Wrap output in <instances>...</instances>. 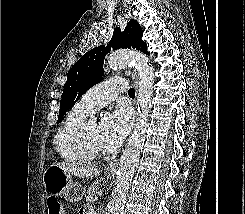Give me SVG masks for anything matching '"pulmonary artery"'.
<instances>
[{
    "mask_svg": "<svg viewBox=\"0 0 245 214\" xmlns=\"http://www.w3.org/2000/svg\"><path fill=\"white\" fill-rule=\"evenodd\" d=\"M126 86V80L120 77L105 80L89 89L82 96L80 104L93 113L112 102L119 93L126 89Z\"/></svg>",
    "mask_w": 245,
    "mask_h": 214,
    "instance_id": "obj_1",
    "label": "pulmonary artery"
}]
</instances>
